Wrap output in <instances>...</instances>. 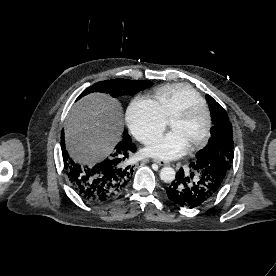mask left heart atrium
Segmentation results:
<instances>
[{
	"mask_svg": "<svg viewBox=\"0 0 276 276\" xmlns=\"http://www.w3.org/2000/svg\"><path fill=\"white\" fill-rule=\"evenodd\" d=\"M186 140L177 131H170L152 141L144 150L145 154L159 160L170 161L184 156L189 151Z\"/></svg>",
	"mask_w": 276,
	"mask_h": 276,
	"instance_id": "1",
	"label": "left heart atrium"
}]
</instances>
